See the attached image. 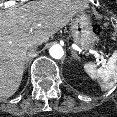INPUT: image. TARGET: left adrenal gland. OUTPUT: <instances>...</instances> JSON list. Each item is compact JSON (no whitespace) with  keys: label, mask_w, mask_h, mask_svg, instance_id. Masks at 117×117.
Returning a JSON list of instances; mask_svg holds the SVG:
<instances>
[{"label":"left adrenal gland","mask_w":117,"mask_h":117,"mask_svg":"<svg viewBox=\"0 0 117 117\" xmlns=\"http://www.w3.org/2000/svg\"><path fill=\"white\" fill-rule=\"evenodd\" d=\"M72 53V58L77 59L78 61H80V57L77 55V53L75 51H71Z\"/></svg>","instance_id":"1"}]
</instances>
